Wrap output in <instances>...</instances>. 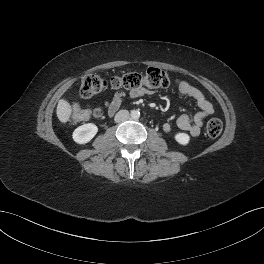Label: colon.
Returning <instances> with one entry per match:
<instances>
[{"label": "colon", "mask_w": 264, "mask_h": 264, "mask_svg": "<svg viewBox=\"0 0 264 264\" xmlns=\"http://www.w3.org/2000/svg\"><path fill=\"white\" fill-rule=\"evenodd\" d=\"M169 85L170 79L165 71L158 68H149L145 73L131 72L111 78H103L94 74L86 75L82 79L80 93L82 97L90 98L108 87L112 89L140 90L166 88ZM91 116L100 117V109H82L77 104L73 105L71 115L73 122L82 121ZM222 129V121L218 118H212L207 122L206 133L210 138L218 137Z\"/></svg>", "instance_id": "colon-1"}]
</instances>
